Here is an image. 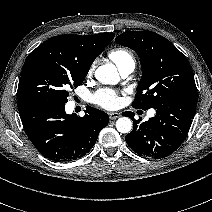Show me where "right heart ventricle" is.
I'll use <instances>...</instances> for the list:
<instances>
[{
	"instance_id": "1",
	"label": "right heart ventricle",
	"mask_w": 212,
	"mask_h": 212,
	"mask_svg": "<svg viewBox=\"0 0 212 212\" xmlns=\"http://www.w3.org/2000/svg\"><path fill=\"white\" fill-rule=\"evenodd\" d=\"M109 58L117 65L120 69L127 63L134 62L132 54L123 48H116L109 52Z\"/></svg>"
}]
</instances>
